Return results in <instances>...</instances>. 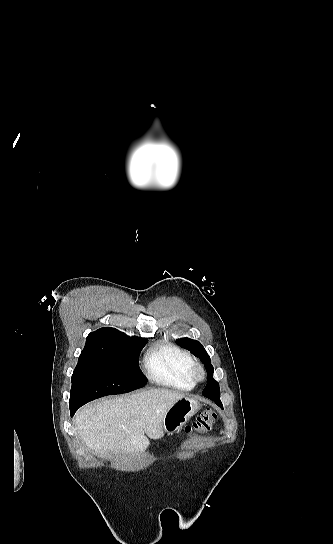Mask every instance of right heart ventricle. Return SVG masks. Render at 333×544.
<instances>
[{
	"instance_id": "obj_1",
	"label": "right heart ventricle",
	"mask_w": 333,
	"mask_h": 544,
	"mask_svg": "<svg viewBox=\"0 0 333 544\" xmlns=\"http://www.w3.org/2000/svg\"><path fill=\"white\" fill-rule=\"evenodd\" d=\"M193 364L192 356L173 343L156 344L144 357V367L152 382L181 391H189L194 387L190 378Z\"/></svg>"
}]
</instances>
